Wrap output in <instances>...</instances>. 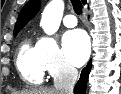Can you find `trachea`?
<instances>
[{"label": "trachea", "instance_id": "obj_1", "mask_svg": "<svg viewBox=\"0 0 121 94\" xmlns=\"http://www.w3.org/2000/svg\"><path fill=\"white\" fill-rule=\"evenodd\" d=\"M73 9L77 15L82 14V3L80 0H71Z\"/></svg>", "mask_w": 121, "mask_h": 94}]
</instances>
